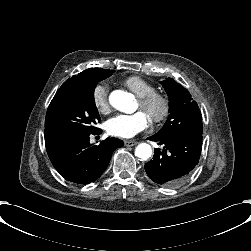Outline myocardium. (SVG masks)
Returning a JSON list of instances; mask_svg holds the SVG:
<instances>
[{"label":"myocardium","instance_id":"f54148a6","mask_svg":"<svg viewBox=\"0 0 251 251\" xmlns=\"http://www.w3.org/2000/svg\"><path fill=\"white\" fill-rule=\"evenodd\" d=\"M141 107L149 114L154 122L164 120L170 113L171 101L169 97L161 92H151L146 95L139 96ZM159 106L158 110L155 107Z\"/></svg>","mask_w":251,"mask_h":251}]
</instances>
